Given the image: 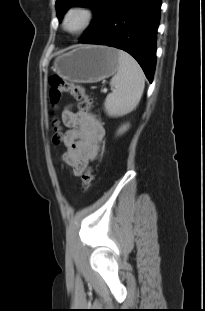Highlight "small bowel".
Wrapping results in <instances>:
<instances>
[{
	"label": "small bowel",
	"mask_w": 205,
	"mask_h": 311,
	"mask_svg": "<svg viewBox=\"0 0 205 311\" xmlns=\"http://www.w3.org/2000/svg\"><path fill=\"white\" fill-rule=\"evenodd\" d=\"M62 121L68 130L63 139L66 151L61 159L72 168L74 175L79 176L90 162L103 153L101 143L105 129L95 115L82 109L74 111L70 107L65 108Z\"/></svg>",
	"instance_id": "obj_1"
}]
</instances>
